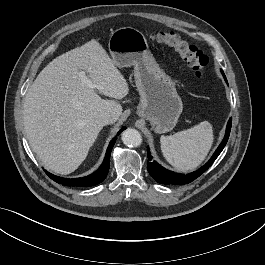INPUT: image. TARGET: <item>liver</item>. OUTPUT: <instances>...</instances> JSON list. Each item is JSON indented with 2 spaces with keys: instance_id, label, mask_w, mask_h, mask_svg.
I'll return each instance as SVG.
<instances>
[{
  "instance_id": "obj_1",
  "label": "liver",
  "mask_w": 265,
  "mask_h": 265,
  "mask_svg": "<svg viewBox=\"0 0 265 265\" xmlns=\"http://www.w3.org/2000/svg\"><path fill=\"white\" fill-rule=\"evenodd\" d=\"M82 70L96 88L81 79ZM128 93L126 79L95 39L53 59L29 87L23 105L28 142L44 167L61 175L74 172L103 128L96 117L107 112L116 121L123 111L117 100Z\"/></svg>"
}]
</instances>
